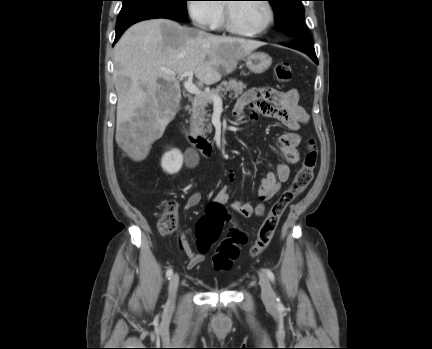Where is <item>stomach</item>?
<instances>
[{
    "label": "stomach",
    "instance_id": "0dacf381",
    "mask_svg": "<svg viewBox=\"0 0 432 349\" xmlns=\"http://www.w3.org/2000/svg\"><path fill=\"white\" fill-rule=\"evenodd\" d=\"M272 64L270 55L264 52L250 53L246 57L247 68L255 74L264 73Z\"/></svg>",
    "mask_w": 432,
    "mask_h": 349
}]
</instances>
